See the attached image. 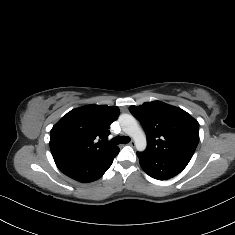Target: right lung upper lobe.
I'll return each instance as SVG.
<instances>
[{
    "label": "right lung upper lobe",
    "mask_w": 235,
    "mask_h": 235,
    "mask_svg": "<svg viewBox=\"0 0 235 235\" xmlns=\"http://www.w3.org/2000/svg\"><path fill=\"white\" fill-rule=\"evenodd\" d=\"M118 115V107L107 105H87L68 112L50 133L54 160H98L116 154L119 148L106 140Z\"/></svg>",
    "instance_id": "obj_1"
}]
</instances>
